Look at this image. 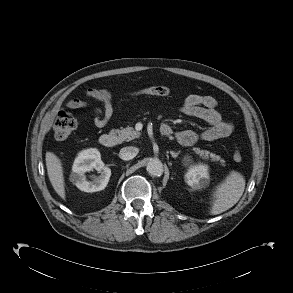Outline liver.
<instances>
[{
    "label": "liver",
    "instance_id": "1",
    "mask_svg": "<svg viewBox=\"0 0 293 293\" xmlns=\"http://www.w3.org/2000/svg\"><path fill=\"white\" fill-rule=\"evenodd\" d=\"M46 167L49 180L55 190V192L65 200V185H64V174L61 160L53 153L46 152L45 155Z\"/></svg>",
    "mask_w": 293,
    "mask_h": 293
}]
</instances>
